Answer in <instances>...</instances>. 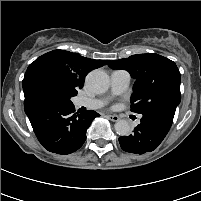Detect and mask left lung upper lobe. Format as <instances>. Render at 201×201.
I'll return each mask as SVG.
<instances>
[{
	"mask_svg": "<svg viewBox=\"0 0 201 201\" xmlns=\"http://www.w3.org/2000/svg\"><path fill=\"white\" fill-rule=\"evenodd\" d=\"M112 69L127 70L136 80L131 111L142 115L163 110L175 114L181 100V76L176 64L155 53L132 55L109 61Z\"/></svg>",
	"mask_w": 201,
	"mask_h": 201,
	"instance_id": "left-lung-upper-lobe-1",
	"label": "left lung upper lobe"
}]
</instances>
